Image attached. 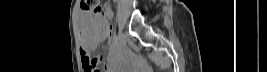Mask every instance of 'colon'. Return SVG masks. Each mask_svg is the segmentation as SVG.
I'll use <instances>...</instances> for the list:
<instances>
[{
  "label": "colon",
  "mask_w": 267,
  "mask_h": 72,
  "mask_svg": "<svg viewBox=\"0 0 267 72\" xmlns=\"http://www.w3.org/2000/svg\"><path fill=\"white\" fill-rule=\"evenodd\" d=\"M103 1L101 0H82V8L92 13L96 17L97 24L100 30H107L109 25L104 16ZM100 58L89 56L87 59V72H100Z\"/></svg>",
  "instance_id": "colon-1"
}]
</instances>
